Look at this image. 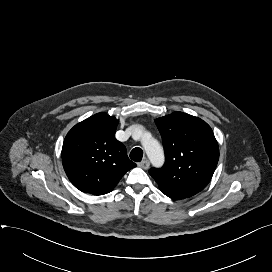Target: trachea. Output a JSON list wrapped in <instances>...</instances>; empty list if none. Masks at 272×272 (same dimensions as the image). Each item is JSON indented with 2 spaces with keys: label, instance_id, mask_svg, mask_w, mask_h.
<instances>
[{
  "label": "trachea",
  "instance_id": "obj_1",
  "mask_svg": "<svg viewBox=\"0 0 272 272\" xmlns=\"http://www.w3.org/2000/svg\"><path fill=\"white\" fill-rule=\"evenodd\" d=\"M143 157V150L139 147L134 148L130 153V158L135 162H140Z\"/></svg>",
  "mask_w": 272,
  "mask_h": 272
}]
</instances>
